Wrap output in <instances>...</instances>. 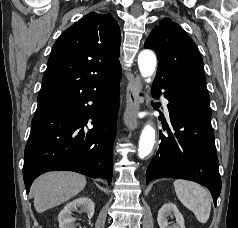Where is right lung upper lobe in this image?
I'll list each match as a JSON object with an SVG mask.
<instances>
[{"label": "right lung upper lobe", "instance_id": "cb5924a9", "mask_svg": "<svg viewBox=\"0 0 238 228\" xmlns=\"http://www.w3.org/2000/svg\"><path fill=\"white\" fill-rule=\"evenodd\" d=\"M121 34L111 14L91 12L55 42L38 95V108L104 89L121 79Z\"/></svg>", "mask_w": 238, "mask_h": 228}]
</instances>
